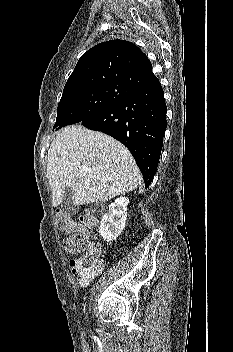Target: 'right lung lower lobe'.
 Instances as JSON below:
<instances>
[{
  "mask_svg": "<svg viewBox=\"0 0 233 352\" xmlns=\"http://www.w3.org/2000/svg\"><path fill=\"white\" fill-rule=\"evenodd\" d=\"M166 103L160 82L80 122L124 144L133 155L147 188L156 174L166 130Z\"/></svg>",
  "mask_w": 233,
  "mask_h": 352,
  "instance_id": "98d812e1",
  "label": "right lung lower lobe"
}]
</instances>
